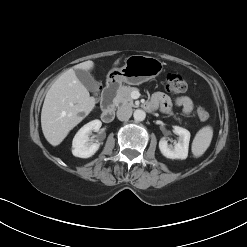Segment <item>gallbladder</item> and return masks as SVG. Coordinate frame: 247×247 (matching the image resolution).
Here are the masks:
<instances>
[{
    "instance_id": "obj_1",
    "label": "gallbladder",
    "mask_w": 247,
    "mask_h": 247,
    "mask_svg": "<svg viewBox=\"0 0 247 247\" xmlns=\"http://www.w3.org/2000/svg\"><path fill=\"white\" fill-rule=\"evenodd\" d=\"M75 74L79 81L90 91L96 93L99 90L98 82L94 80L91 74L82 69H76Z\"/></svg>"
}]
</instances>
